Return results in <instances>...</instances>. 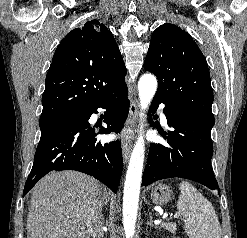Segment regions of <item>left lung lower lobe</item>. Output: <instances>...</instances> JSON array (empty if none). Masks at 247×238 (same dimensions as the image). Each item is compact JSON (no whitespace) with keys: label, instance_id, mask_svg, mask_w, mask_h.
<instances>
[{"label":"left lung lower lobe","instance_id":"0a47b994","mask_svg":"<svg viewBox=\"0 0 247 238\" xmlns=\"http://www.w3.org/2000/svg\"><path fill=\"white\" fill-rule=\"evenodd\" d=\"M163 101L155 96L153 113ZM171 130L167 134L169 146L152 143L145 166L142 185L179 177L203 184L219 193L211 166L213 143L211 129L201 121L165 106L163 110ZM166 138V135H163Z\"/></svg>","mask_w":247,"mask_h":238}]
</instances>
